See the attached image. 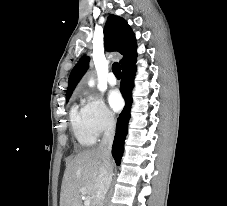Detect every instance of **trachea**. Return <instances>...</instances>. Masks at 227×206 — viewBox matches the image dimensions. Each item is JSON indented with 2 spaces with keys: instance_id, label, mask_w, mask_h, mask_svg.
<instances>
[{
  "instance_id": "obj_1",
  "label": "trachea",
  "mask_w": 227,
  "mask_h": 206,
  "mask_svg": "<svg viewBox=\"0 0 227 206\" xmlns=\"http://www.w3.org/2000/svg\"><path fill=\"white\" fill-rule=\"evenodd\" d=\"M112 71L116 77H121V67L118 62L113 63L112 65Z\"/></svg>"
}]
</instances>
